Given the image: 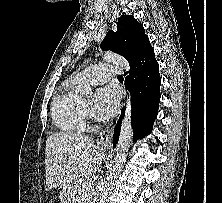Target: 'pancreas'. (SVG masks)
I'll return each instance as SVG.
<instances>
[{
    "instance_id": "obj_1",
    "label": "pancreas",
    "mask_w": 222,
    "mask_h": 203,
    "mask_svg": "<svg viewBox=\"0 0 222 203\" xmlns=\"http://www.w3.org/2000/svg\"><path fill=\"white\" fill-rule=\"evenodd\" d=\"M85 182L86 180H81L75 185L73 193H72L73 198L75 199L80 198L83 192H87L83 187ZM92 196H93V193H88L87 199H90Z\"/></svg>"
}]
</instances>
